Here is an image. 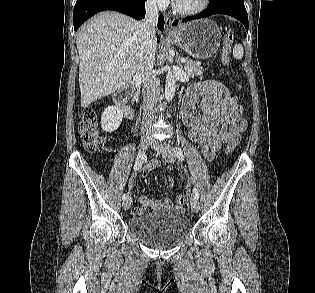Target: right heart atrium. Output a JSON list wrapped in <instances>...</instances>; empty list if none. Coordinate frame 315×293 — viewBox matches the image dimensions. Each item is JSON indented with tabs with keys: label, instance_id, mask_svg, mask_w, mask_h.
<instances>
[{
	"label": "right heart atrium",
	"instance_id": "obj_1",
	"mask_svg": "<svg viewBox=\"0 0 315 293\" xmlns=\"http://www.w3.org/2000/svg\"><path fill=\"white\" fill-rule=\"evenodd\" d=\"M150 3L158 6L159 8H165L169 0H148Z\"/></svg>",
	"mask_w": 315,
	"mask_h": 293
}]
</instances>
